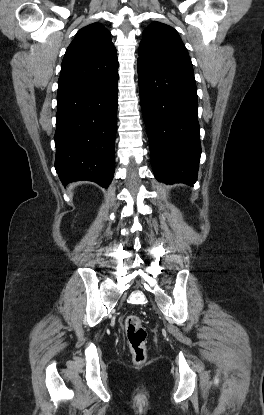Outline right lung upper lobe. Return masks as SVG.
<instances>
[{"label": "right lung upper lobe", "instance_id": "cb5924a9", "mask_svg": "<svg viewBox=\"0 0 264 415\" xmlns=\"http://www.w3.org/2000/svg\"><path fill=\"white\" fill-rule=\"evenodd\" d=\"M117 51L100 23L80 29L64 55L58 90L98 82L118 72Z\"/></svg>", "mask_w": 264, "mask_h": 415}]
</instances>
